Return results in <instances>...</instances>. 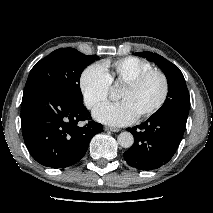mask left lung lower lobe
<instances>
[{
    "label": "left lung lower lobe",
    "instance_id": "1",
    "mask_svg": "<svg viewBox=\"0 0 213 213\" xmlns=\"http://www.w3.org/2000/svg\"><path fill=\"white\" fill-rule=\"evenodd\" d=\"M187 118L178 112H165L128 128L134 136V144L123 154L126 162L147 171L168 163L181 142Z\"/></svg>",
    "mask_w": 213,
    "mask_h": 213
}]
</instances>
